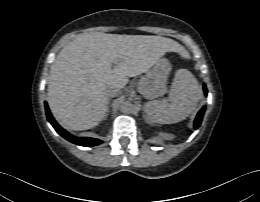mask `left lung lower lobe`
Returning a JSON list of instances; mask_svg holds the SVG:
<instances>
[{"mask_svg":"<svg viewBox=\"0 0 260 202\" xmlns=\"http://www.w3.org/2000/svg\"><path fill=\"white\" fill-rule=\"evenodd\" d=\"M204 93L205 95H207V88H206V85L204 84ZM205 107H203L199 113L197 114L196 118H195V121H194V128L197 129L199 127V125L201 124V121H202V118H203V115H204V112H205Z\"/></svg>","mask_w":260,"mask_h":202,"instance_id":"obj_1","label":"left lung lower lobe"}]
</instances>
